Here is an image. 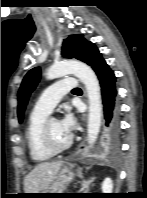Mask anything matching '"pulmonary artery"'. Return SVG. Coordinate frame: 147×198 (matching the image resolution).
Instances as JSON below:
<instances>
[{"instance_id": "e3ab8cb5", "label": "pulmonary artery", "mask_w": 147, "mask_h": 198, "mask_svg": "<svg viewBox=\"0 0 147 198\" xmlns=\"http://www.w3.org/2000/svg\"><path fill=\"white\" fill-rule=\"evenodd\" d=\"M77 86V81L74 78H64L50 87H48L40 95L34 105V109L37 112H44L49 114L54 107L61 101L63 96L70 92Z\"/></svg>"}]
</instances>
